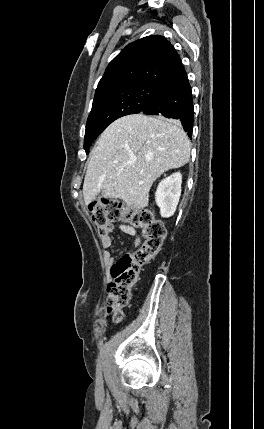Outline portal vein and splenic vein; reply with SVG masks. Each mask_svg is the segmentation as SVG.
Instances as JSON below:
<instances>
[{
	"label": "portal vein and splenic vein",
	"mask_w": 264,
	"mask_h": 429,
	"mask_svg": "<svg viewBox=\"0 0 264 429\" xmlns=\"http://www.w3.org/2000/svg\"><path fill=\"white\" fill-rule=\"evenodd\" d=\"M130 163H131V164H134V163H135V161H131Z\"/></svg>",
	"instance_id": "obj_1"
}]
</instances>
